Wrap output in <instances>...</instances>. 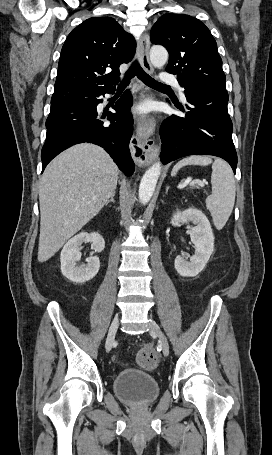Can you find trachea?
<instances>
[{
	"label": "trachea",
	"mask_w": 272,
	"mask_h": 455,
	"mask_svg": "<svg viewBox=\"0 0 272 455\" xmlns=\"http://www.w3.org/2000/svg\"><path fill=\"white\" fill-rule=\"evenodd\" d=\"M134 76H137L141 81H143L146 85L150 87H160V88H168L169 86L159 83L158 81L154 80L151 78L140 66L138 61H134L126 73L124 79L122 82L119 84V87H126L130 79L133 78Z\"/></svg>",
	"instance_id": "3493384b"
}]
</instances>
